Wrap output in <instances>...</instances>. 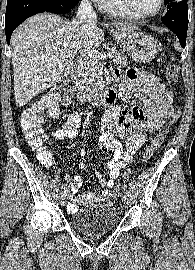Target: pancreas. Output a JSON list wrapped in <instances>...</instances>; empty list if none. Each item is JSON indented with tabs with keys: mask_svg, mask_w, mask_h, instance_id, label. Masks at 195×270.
<instances>
[{
	"mask_svg": "<svg viewBox=\"0 0 195 270\" xmlns=\"http://www.w3.org/2000/svg\"><path fill=\"white\" fill-rule=\"evenodd\" d=\"M109 52L113 53V61L116 66L124 67L127 65V57L114 48ZM102 64L98 60H91L81 71V77L84 83L91 85L92 87H98V84L102 81Z\"/></svg>",
	"mask_w": 195,
	"mask_h": 270,
	"instance_id": "pancreas-1",
	"label": "pancreas"
}]
</instances>
